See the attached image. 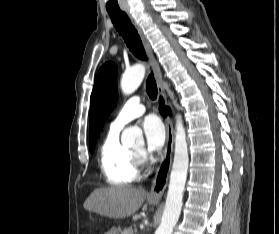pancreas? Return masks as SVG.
<instances>
[{"label":"pancreas","mask_w":279,"mask_h":234,"mask_svg":"<svg viewBox=\"0 0 279 234\" xmlns=\"http://www.w3.org/2000/svg\"><path fill=\"white\" fill-rule=\"evenodd\" d=\"M121 234H133V230L131 227L124 229Z\"/></svg>","instance_id":"obj_1"}]
</instances>
